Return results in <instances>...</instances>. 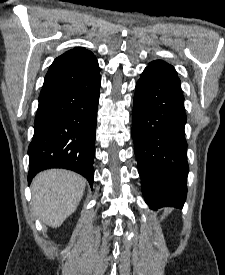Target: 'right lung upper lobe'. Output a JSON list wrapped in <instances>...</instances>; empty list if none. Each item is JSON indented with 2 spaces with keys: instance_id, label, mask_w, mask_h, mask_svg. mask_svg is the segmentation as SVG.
I'll list each match as a JSON object with an SVG mask.
<instances>
[{
  "instance_id": "obj_1",
  "label": "right lung upper lobe",
  "mask_w": 225,
  "mask_h": 275,
  "mask_svg": "<svg viewBox=\"0 0 225 275\" xmlns=\"http://www.w3.org/2000/svg\"><path fill=\"white\" fill-rule=\"evenodd\" d=\"M97 76L99 66L93 53L83 47H75L54 60L45 76L39 98L92 86Z\"/></svg>"
}]
</instances>
